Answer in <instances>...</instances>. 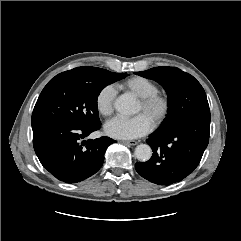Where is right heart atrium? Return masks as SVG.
Wrapping results in <instances>:
<instances>
[{
	"instance_id": "1",
	"label": "right heart atrium",
	"mask_w": 241,
	"mask_h": 241,
	"mask_svg": "<svg viewBox=\"0 0 241 241\" xmlns=\"http://www.w3.org/2000/svg\"><path fill=\"white\" fill-rule=\"evenodd\" d=\"M116 90L113 85L103 87L97 94L96 107L98 112L108 117L113 113Z\"/></svg>"
}]
</instances>
